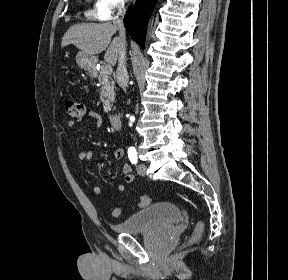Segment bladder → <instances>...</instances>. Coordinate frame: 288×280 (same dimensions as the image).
Here are the masks:
<instances>
[{"instance_id": "1", "label": "bladder", "mask_w": 288, "mask_h": 280, "mask_svg": "<svg viewBox=\"0 0 288 280\" xmlns=\"http://www.w3.org/2000/svg\"><path fill=\"white\" fill-rule=\"evenodd\" d=\"M182 213L178 206L169 202H160L134 213L124 221L115 224L118 233L138 234L155 229H163L178 223Z\"/></svg>"}]
</instances>
